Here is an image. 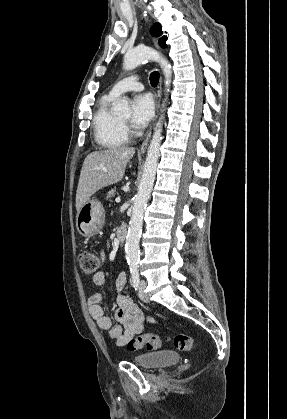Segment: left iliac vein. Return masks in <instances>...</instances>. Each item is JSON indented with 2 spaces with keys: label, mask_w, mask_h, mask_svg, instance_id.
<instances>
[{
  "label": "left iliac vein",
  "mask_w": 287,
  "mask_h": 419,
  "mask_svg": "<svg viewBox=\"0 0 287 419\" xmlns=\"http://www.w3.org/2000/svg\"><path fill=\"white\" fill-rule=\"evenodd\" d=\"M146 285L147 283L145 280L140 281L138 295L142 301L147 303L149 302V298L147 294L145 293Z\"/></svg>",
  "instance_id": "1"
}]
</instances>
